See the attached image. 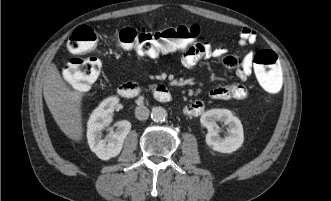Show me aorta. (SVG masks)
I'll use <instances>...</instances> for the list:
<instances>
[{
	"label": "aorta",
	"mask_w": 331,
	"mask_h": 201,
	"mask_svg": "<svg viewBox=\"0 0 331 201\" xmlns=\"http://www.w3.org/2000/svg\"><path fill=\"white\" fill-rule=\"evenodd\" d=\"M151 118L155 122H164L167 118V111L163 107H154L151 111Z\"/></svg>",
	"instance_id": "obj_1"
}]
</instances>
